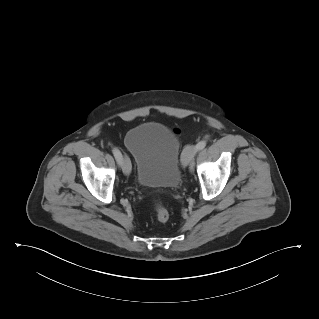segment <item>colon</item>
Here are the masks:
<instances>
[{
    "instance_id": "5ec220e1",
    "label": "colon",
    "mask_w": 319,
    "mask_h": 319,
    "mask_svg": "<svg viewBox=\"0 0 319 319\" xmlns=\"http://www.w3.org/2000/svg\"><path fill=\"white\" fill-rule=\"evenodd\" d=\"M156 218L160 222H166L169 219V211L159 202L155 203Z\"/></svg>"
}]
</instances>
